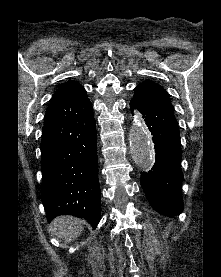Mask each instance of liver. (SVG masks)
<instances>
[{
  "label": "liver",
  "mask_w": 221,
  "mask_h": 277,
  "mask_svg": "<svg viewBox=\"0 0 221 277\" xmlns=\"http://www.w3.org/2000/svg\"><path fill=\"white\" fill-rule=\"evenodd\" d=\"M84 221L72 216H59L50 226L52 234L65 242H71L77 238L83 230Z\"/></svg>",
  "instance_id": "1"
}]
</instances>
